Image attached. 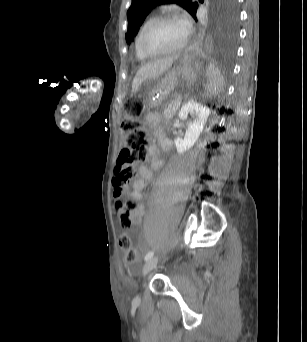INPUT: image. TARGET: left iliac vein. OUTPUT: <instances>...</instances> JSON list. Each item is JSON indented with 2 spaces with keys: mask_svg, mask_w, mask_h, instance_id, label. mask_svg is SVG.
<instances>
[{
  "mask_svg": "<svg viewBox=\"0 0 307 342\" xmlns=\"http://www.w3.org/2000/svg\"><path fill=\"white\" fill-rule=\"evenodd\" d=\"M159 257L158 256H154L152 258H150L143 267V274H147L149 273L152 269H154L158 263Z\"/></svg>",
  "mask_w": 307,
  "mask_h": 342,
  "instance_id": "1",
  "label": "left iliac vein"
}]
</instances>
